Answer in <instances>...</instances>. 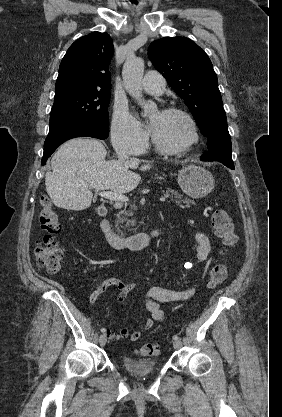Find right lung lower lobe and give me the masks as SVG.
Wrapping results in <instances>:
<instances>
[{
  "label": "right lung lower lobe",
  "mask_w": 282,
  "mask_h": 417,
  "mask_svg": "<svg viewBox=\"0 0 282 417\" xmlns=\"http://www.w3.org/2000/svg\"><path fill=\"white\" fill-rule=\"evenodd\" d=\"M75 137H94L106 139L108 132L83 121H74L50 128L44 143L42 164L51 156L55 149L68 139Z\"/></svg>",
  "instance_id": "1"
}]
</instances>
